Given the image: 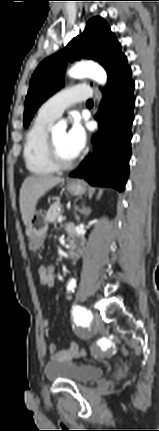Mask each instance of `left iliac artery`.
I'll return each mask as SVG.
<instances>
[{
    "label": "left iliac artery",
    "instance_id": "1",
    "mask_svg": "<svg viewBox=\"0 0 159 431\" xmlns=\"http://www.w3.org/2000/svg\"><path fill=\"white\" fill-rule=\"evenodd\" d=\"M71 289L75 286L74 280H70ZM73 316L75 322L80 325H86L92 319V314L85 307L75 306L73 309Z\"/></svg>",
    "mask_w": 159,
    "mask_h": 431
}]
</instances>
